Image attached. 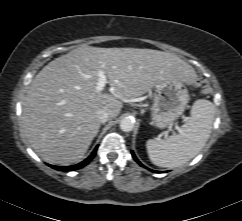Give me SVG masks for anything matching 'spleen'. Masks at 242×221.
I'll use <instances>...</instances> for the list:
<instances>
[{
	"mask_svg": "<svg viewBox=\"0 0 242 221\" xmlns=\"http://www.w3.org/2000/svg\"><path fill=\"white\" fill-rule=\"evenodd\" d=\"M215 106L205 99L196 100L191 115L178 134L166 139H149L146 142L151 162L160 167H179L194 158L205 146L213 127Z\"/></svg>",
	"mask_w": 242,
	"mask_h": 221,
	"instance_id": "1",
	"label": "spleen"
}]
</instances>
